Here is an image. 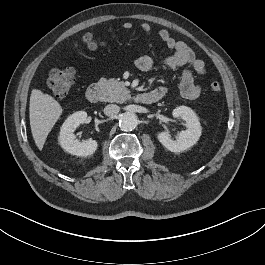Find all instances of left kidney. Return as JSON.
Returning <instances> with one entry per match:
<instances>
[{
	"instance_id": "5707ae66",
	"label": "left kidney",
	"mask_w": 265,
	"mask_h": 265,
	"mask_svg": "<svg viewBox=\"0 0 265 265\" xmlns=\"http://www.w3.org/2000/svg\"><path fill=\"white\" fill-rule=\"evenodd\" d=\"M173 117L185 121L186 130L179 134L177 140H172L166 132H159L157 139L171 152H183L196 144L201 136V126L195 112L186 106H179L173 110Z\"/></svg>"
}]
</instances>
